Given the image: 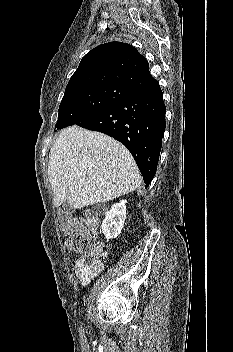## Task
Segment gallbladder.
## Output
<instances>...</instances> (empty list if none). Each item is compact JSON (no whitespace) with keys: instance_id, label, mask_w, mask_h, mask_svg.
<instances>
[{"instance_id":"gallbladder-1","label":"gallbladder","mask_w":233,"mask_h":352,"mask_svg":"<svg viewBox=\"0 0 233 352\" xmlns=\"http://www.w3.org/2000/svg\"><path fill=\"white\" fill-rule=\"evenodd\" d=\"M63 209H64V211H67V212H71V211H72V208H71V206L68 204V201H67V200H65V201L63 202Z\"/></svg>"}]
</instances>
